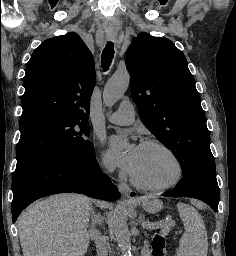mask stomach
I'll use <instances>...</instances> for the list:
<instances>
[{
	"label": "stomach",
	"instance_id": "0dacf381",
	"mask_svg": "<svg viewBox=\"0 0 236 256\" xmlns=\"http://www.w3.org/2000/svg\"><path fill=\"white\" fill-rule=\"evenodd\" d=\"M142 207L150 213H156L162 209L163 204L158 199L144 200L142 202Z\"/></svg>",
	"mask_w": 236,
	"mask_h": 256
}]
</instances>
